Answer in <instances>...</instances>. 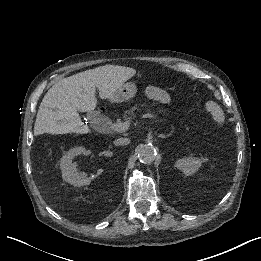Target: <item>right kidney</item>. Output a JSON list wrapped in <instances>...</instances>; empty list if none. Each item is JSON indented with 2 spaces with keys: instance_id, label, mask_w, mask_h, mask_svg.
Returning a JSON list of instances; mask_svg holds the SVG:
<instances>
[{
  "instance_id": "ca27d5eb",
  "label": "right kidney",
  "mask_w": 261,
  "mask_h": 261,
  "mask_svg": "<svg viewBox=\"0 0 261 261\" xmlns=\"http://www.w3.org/2000/svg\"><path fill=\"white\" fill-rule=\"evenodd\" d=\"M84 153L85 149L83 147L74 148L68 151L60 160V168L64 181L78 188L88 186L91 183V180L85 173H78L72 164V159L75 156L83 155Z\"/></svg>"
}]
</instances>
